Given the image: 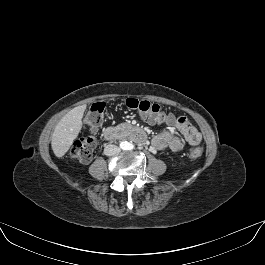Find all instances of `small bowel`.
Returning a JSON list of instances; mask_svg holds the SVG:
<instances>
[{
    "label": "small bowel",
    "mask_w": 265,
    "mask_h": 265,
    "mask_svg": "<svg viewBox=\"0 0 265 265\" xmlns=\"http://www.w3.org/2000/svg\"><path fill=\"white\" fill-rule=\"evenodd\" d=\"M142 119L149 124H165L169 127L167 131L156 135L152 139V146L156 150H170L178 153L186 148L185 141L193 146L198 145L201 141L200 133L185 117L170 115L165 118H157L155 116L142 115ZM174 128L182 133L185 141L174 132Z\"/></svg>",
    "instance_id": "obj_1"
}]
</instances>
